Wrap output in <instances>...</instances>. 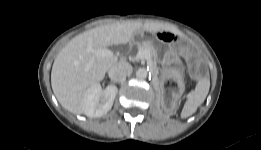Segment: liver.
Listing matches in <instances>:
<instances>
[{"label": "liver", "instance_id": "1", "mask_svg": "<svg viewBox=\"0 0 261 150\" xmlns=\"http://www.w3.org/2000/svg\"><path fill=\"white\" fill-rule=\"evenodd\" d=\"M168 29L171 27L161 23L123 21L99 26L75 36L62 48L52 66L51 86L58 102L71 113L83 114L88 90L99 84L106 72L117 64L115 55L93 57L87 50L90 44L95 48L126 44L139 31L155 33ZM172 32L180 34L175 29Z\"/></svg>", "mask_w": 261, "mask_h": 150}]
</instances>
